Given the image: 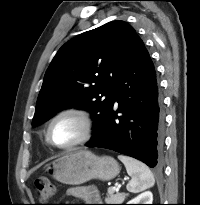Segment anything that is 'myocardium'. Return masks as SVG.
Returning a JSON list of instances; mask_svg holds the SVG:
<instances>
[{"label":"myocardium","mask_w":200,"mask_h":205,"mask_svg":"<svg viewBox=\"0 0 200 205\" xmlns=\"http://www.w3.org/2000/svg\"><path fill=\"white\" fill-rule=\"evenodd\" d=\"M63 117L75 118L81 125V134L73 142L65 145H60L55 143L52 138V128L54 124ZM93 131H94V123L90 113L87 110L82 108L71 107L60 111L51 119L46 130V139L51 146L57 149L69 150L88 142L93 135Z\"/></svg>","instance_id":"obj_1"}]
</instances>
